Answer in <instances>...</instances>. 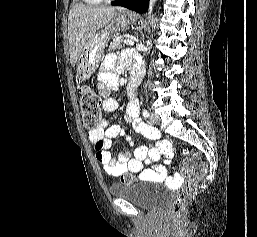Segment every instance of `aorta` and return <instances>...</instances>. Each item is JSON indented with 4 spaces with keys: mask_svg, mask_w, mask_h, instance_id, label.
Listing matches in <instances>:
<instances>
[{
    "mask_svg": "<svg viewBox=\"0 0 257 237\" xmlns=\"http://www.w3.org/2000/svg\"><path fill=\"white\" fill-rule=\"evenodd\" d=\"M156 1H157V0H150V6H149L150 9L153 8V6L155 5Z\"/></svg>",
    "mask_w": 257,
    "mask_h": 237,
    "instance_id": "aorta-1",
    "label": "aorta"
}]
</instances>
